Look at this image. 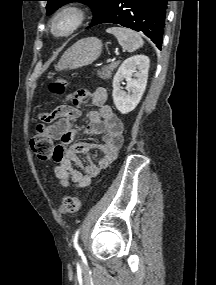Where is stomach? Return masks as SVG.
Returning a JSON list of instances; mask_svg holds the SVG:
<instances>
[{"mask_svg":"<svg viewBox=\"0 0 216 285\" xmlns=\"http://www.w3.org/2000/svg\"><path fill=\"white\" fill-rule=\"evenodd\" d=\"M102 42L96 37H87L74 43L61 57L56 69H78L93 63L101 54Z\"/></svg>","mask_w":216,"mask_h":285,"instance_id":"0dacf381","label":"stomach"}]
</instances>
